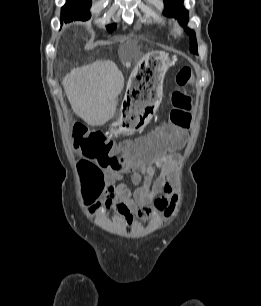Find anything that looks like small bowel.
Here are the masks:
<instances>
[{"label":"small bowel","mask_w":261,"mask_h":306,"mask_svg":"<svg viewBox=\"0 0 261 306\" xmlns=\"http://www.w3.org/2000/svg\"><path fill=\"white\" fill-rule=\"evenodd\" d=\"M179 162L178 154L168 153L149 164L110 170L106 174L105 197L90 213L113 207L128 226L136 220H148L158 213L171 217L179 201L176 192ZM126 173H131L130 183L124 181Z\"/></svg>","instance_id":"1"}]
</instances>
